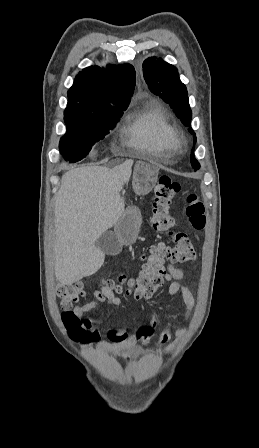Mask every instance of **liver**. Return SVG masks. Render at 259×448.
Wrapping results in <instances>:
<instances>
[{
	"mask_svg": "<svg viewBox=\"0 0 259 448\" xmlns=\"http://www.w3.org/2000/svg\"><path fill=\"white\" fill-rule=\"evenodd\" d=\"M133 160L113 170L86 166L62 176L54 208V272L60 284H74L100 270L105 256L94 244L124 214L120 198L129 182Z\"/></svg>",
	"mask_w": 259,
	"mask_h": 448,
	"instance_id": "liver-1",
	"label": "liver"
}]
</instances>
